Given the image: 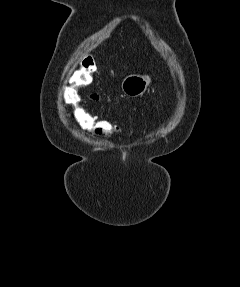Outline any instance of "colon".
<instances>
[{"mask_svg": "<svg viewBox=\"0 0 240 287\" xmlns=\"http://www.w3.org/2000/svg\"><path fill=\"white\" fill-rule=\"evenodd\" d=\"M96 71L93 58L83 59L81 69L71 77V84L62 91V99L67 112L74 122L83 130L97 135H110L118 132L119 127L115 122L100 119L85 108V98L80 88L92 82V74Z\"/></svg>", "mask_w": 240, "mask_h": 287, "instance_id": "obj_1", "label": "colon"}]
</instances>
